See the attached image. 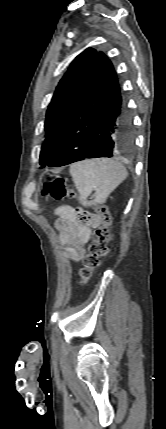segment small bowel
<instances>
[{
    "instance_id": "1",
    "label": "small bowel",
    "mask_w": 166,
    "mask_h": 429,
    "mask_svg": "<svg viewBox=\"0 0 166 429\" xmlns=\"http://www.w3.org/2000/svg\"><path fill=\"white\" fill-rule=\"evenodd\" d=\"M55 214V227L59 231L60 243L66 246V256L73 261H81L86 255L92 228L99 226L98 216L69 205L59 206Z\"/></svg>"
}]
</instances>
